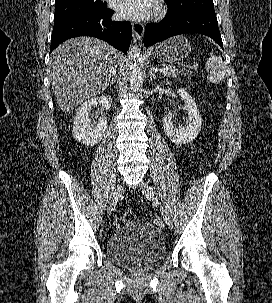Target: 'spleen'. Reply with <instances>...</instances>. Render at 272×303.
<instances>
[{"label": "spleen", "mask_w": 272, "mask_h": 303, "mask_svg": "<svg viewBox=\"0 0 272 303\" xmlns=\"http://www.w3.org/2000/svg\"><path fill=\"white\" fill-rule=\"evenodd\" d=\"M206 67L209 71L208 81L211 83H219L224 80L226 73V66L221 57L215 56L210 53L209 58L206 61Z\"/></svg>", "instance_id": "3e777b00"}]
</instances>
